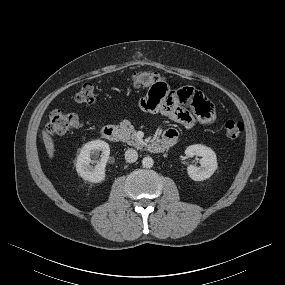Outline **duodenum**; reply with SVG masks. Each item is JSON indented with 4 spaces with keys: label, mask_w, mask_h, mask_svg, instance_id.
<instances>
[{
    "label": "duodenum",
    "mask_w": 285,
    "mask_h": 285,
    "mask_svg": "<svg viewBox=\"0 0 285 285\" xmlns=\"http://www.w3.org/2000/svg\"><path fill=\"white\" fill-rule=\"evenodd\" d=\"M101 134L103 138L110 142H117L120 139V132L117 126L115 125H105L101 129ZM169 146H171L168 142L162 139H156L149 145V150L153 153H162Z\"/></svg>",
    "instance_id": "obj_1"
}]
</instances>
